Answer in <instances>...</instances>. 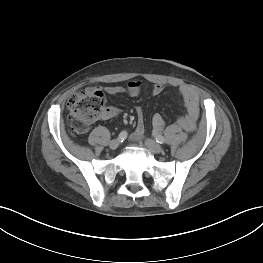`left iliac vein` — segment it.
<instances>
[{
    "label": "left iliac vein",
    "mask_w": 263,
    "mask_h": 263,
    "mask_svg": "<svg viewBox=\"0 0 263 263\" xmlns=\"http://www.w3.org/2000/svg\"><path fill=\"white\" fill-rule=\"evenodd\" d=\"M145 144L153 153L159 154L163 152V148L152 139H146Z\"/></svg>",
    "instance_id": "1"
}]
</instances>
